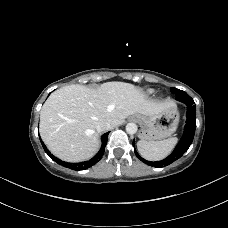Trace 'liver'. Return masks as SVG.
<instances>
[{"mask_svg":"<svg viewBox=\"0 0 228 228\" xmlns=\"http://www.w3.org/2000/svg\"><path fill=\"white\" fill-rule=\"evenodd\" d=\"M172 103H158L130 83L106 82L92 89L73 84L53 92L40 112V135L48 149L68 162L90 159L100 147L97 126L121 125L132 114L152 116Z\"/></svg>","mask_w":228,"mask_h":228,"instance_id":"liver-1","label":"liver"}]
</instances>
